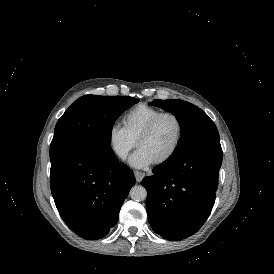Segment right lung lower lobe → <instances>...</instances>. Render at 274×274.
<instances>
[{"label": "right lung lower lobe", "instance_id": "98d812e1", "mask_svg": "<svg viewBox=\"0 0 274 274\" xmlns=\"http://www.w3.org/2000/svg\"><path fill=\"white\" fill-rule=\"evenodd\" d=\"M134 184L133 171L118 161L112 149L78 150L51 161L56 207L68 227L85 239L109 233Z\"/></svg>", "mask_w": 274, "mask_h": 274}]
</instances>
